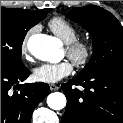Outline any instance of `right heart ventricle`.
<instances>
[{"label":"right heart ventricle","instance_id":"right-heart-ventricle-1","mask_svg":"<svg viewBox=\"0 0 123 123\" xmlns=\"http://www.w3.org/2000/svg\"><path fill=\"white\" fill-rule=\"evenodd\" d=\"M49 28L66 44L78 37V30L62 17H55L50 20Z\"/></svg>","mask_w":123,"mask_h":123}]
</instances>
